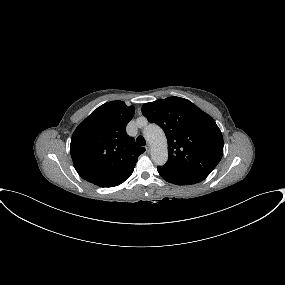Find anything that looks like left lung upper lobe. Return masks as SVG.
<instances>
[{
  "instance_id": "left-lung-upper-lobe-1",
  "label": "left lung upper lobe",
  "mask_w": 285,
  "mask_h": 285,
  "mask_svg": "<svg viewBox=\"0 0 285 285\" xmlns=\"http://www.w3.org/2000/svg\"><path fill=\"white\" fill-rule=\"evenodd\" d=\"M142 113L166 134L169 158L158 166L161 170L206 178L221 160L224 144L219 127L191 101L168 97L144 104Z\"/></svg>"
}]
</instances>
